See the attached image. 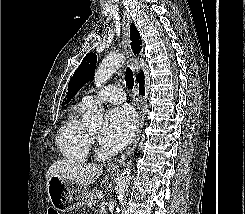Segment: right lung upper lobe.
<instances>
[{
  "mask_svg": "<svg viewBox=\"0 0 245 214\" xmlns=\"http://www.w3.org/2000/svg\"><path fill=\"white\" fill-rule=\"evenodd\" d=\"M130 38H131V47L134 51L135 54H138V52H140L141 50V40H140V35L139 32L137 31L136 27L132 24L131 25V29H130ZM141 74H143V72H141L138 76H140Z\"/></svg>",
  "mask_w": 245,
  "mask_h": 214,
  "instance_id": "obj_1",
  "label": "right lung upper lobe"
}]
</instances>
